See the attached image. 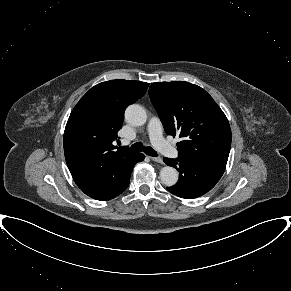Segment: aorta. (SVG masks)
<instances>
[{"label": "aorta", "mask_w": 291, "mask_h": 291, "mask_svg": "<svg viewBox=\"0 0 291 291\" xmlns=\"http://www.w3.org/2000/svg\"><path fill=\"white\" fill-rule=\"evenodd\" d=\"M125 119L133 126H142L147 121V114L142 106L132 104L125 111ZM160 179L166 186H173L178 181V172L171 166H165L160 170Z\"/></svg>", "instance_id": "1"}]
</instances>
